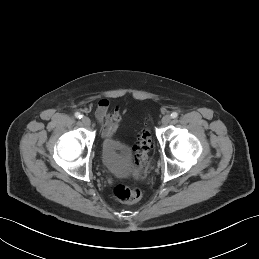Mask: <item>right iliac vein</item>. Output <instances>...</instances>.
<instances>
[{"mask_svg": "<svg viewBox=\"0 0 259 259\" xmlns=\"http://www.w3.org/2000/svg\"><path fill=\"white\" fill-rule=\"evenodd\" d=\"M82 122H83V124H84L85 126H90V124H91L90 119H89L88 117H86V116H84V117L82 118Z\"/></svg>", "mask_w": 259, "mask_h": 259, "instance_id": "right-iliac-vein-1", "label": "right iliac vein"}]
</instances>
